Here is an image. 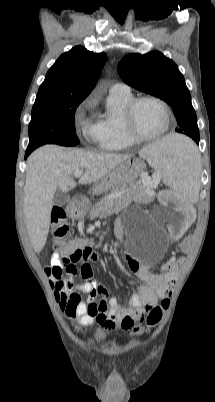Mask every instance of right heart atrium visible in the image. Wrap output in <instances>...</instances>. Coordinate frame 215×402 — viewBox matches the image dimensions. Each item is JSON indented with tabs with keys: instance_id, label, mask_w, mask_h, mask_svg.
I'll return each instance as SVG.
<instances>
[{
	"instance_id": "1",
	"label": "right heart atrium",
	"mask_w": 215,
	"mask_h": 402,
	"mask_svg": "<svg viewBox=\"0 0 215 402\" xmlns=\"http://www.w3.org/2000/svg\"><path fill=\"white\" fill-rule=\"evenodd\" d=\"M93 102L88 99L84 101L77 110V129L78 133L88 142L96 143L99 139V121L92 120L88 112L92 108Z\"/></svg>"
}]
</instances>
